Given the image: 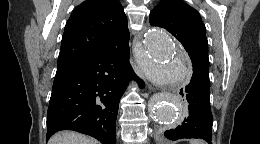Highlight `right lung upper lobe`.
<instances>
[{
    "instance_id": "cb5924a9",
    "label": "right lung upper lobe",
    "mask_w": 260,
    "mask_h": 144,
    "mask_svg": "<svg viewBox=\"0 0 260 144\" xmlns=\"http://www.w3.org/2000/svg\"><path fill=\"white\" fill-rule=\"evenodd\" d=\"M128 43L127 18L119 0H86L66 23L58 64Z\"/></svg>"
}]
</instances>
